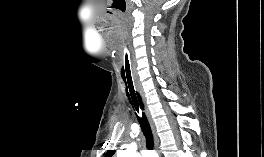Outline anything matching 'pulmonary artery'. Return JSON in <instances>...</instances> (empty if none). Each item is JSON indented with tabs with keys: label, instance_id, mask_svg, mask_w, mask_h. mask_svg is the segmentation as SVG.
<instances>
[{
	"label": "pulmonary artery",
	"instance_id": "obj_1",
	"mask_svg": "<svg viewBox=\"0 0 264 157\" xmlns=\"http://www.w3.org/2000/svg\"><path fill=\"white\" fill-rule=\"evenodd\" d=\"M151 155H154L153 153L151 152H148V151H145L142 155V157H148V156H151Z\"/></svg>",
	"mask_w": 264,
	"mask_h": 157
}]
</instances>
